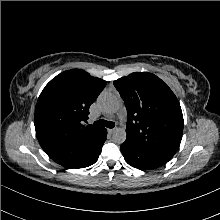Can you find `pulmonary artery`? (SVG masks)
Segmentation results:
<instances>
[{
  "label": "pulmonary artery",
  "instance_id": "pulmonary-artery-1",
  "mask_svg": "<svg viewBox=\"0 0 220 220\" xmlns=\"http://www.w3.org/2000/svg\"><path fill=\"white\" fill-rule=\"evenodd\" d=\"M121 117L124 118V113L123 112H121Z\"/></svg>",
  "mask_w": 220,
  "mask_h": 220
}]
</instances>
